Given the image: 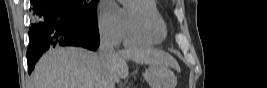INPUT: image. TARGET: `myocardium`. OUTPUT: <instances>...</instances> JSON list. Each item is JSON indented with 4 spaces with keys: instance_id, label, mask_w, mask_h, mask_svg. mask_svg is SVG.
<instances>
[{
    "instance_id": "f54148a6",
    "label": "myocardium",
    "mask_w": 267,
    "mask_h": 88,
    "mask_svg": "<svg viewBox=\"0 0 267 88\" xmlns=\"http://www.w3.org/2000/svg\"><path fill=\"white\" fill-rule=\"evenodd\" d=\"M131 21L138 26H142V27H148L150 25L149 20L142 15L137 8H133L131 11Z\"/></svg>"
}]
</instances>
